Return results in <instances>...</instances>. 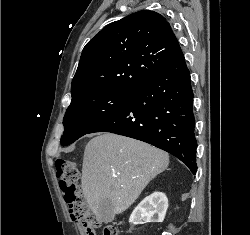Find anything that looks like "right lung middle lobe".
<instances>
[{
	"label": "right lung middle lobe",
	"instance_id": "obj_1",
	"mask_svg": "<svg viewBox=\"0 0 250 235\" xmlns=\"http://www.w3.org/2000/svg\"><path fill=\"white\" fill-rule=\"evenodd\" d=\"M134 91L97 90L71 101L63 119L61 145L67 146L117 112Z\"/></svg>",
	"mask_w": 250,
	"mask_h": 235
}]
</instances>
